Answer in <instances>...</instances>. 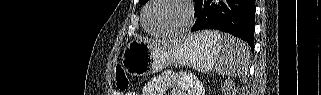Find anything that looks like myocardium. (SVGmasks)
I'll use <instances>...</instances> for the list:
<instances>
[{
    "label": "myocardium",
    "mask_w": 321,
    "mask_h": 95,
    "mask_svg": "<svg viewBox=\"0 0 321 95\" xmlns=\"http://www.w3.org/2000/svg\"><path fill=\"white\" fill-rule=\"evenodd\" d=\"M157 1L158 0L148 1L147 5L145 6V8L143 10L142 24H143L144 29L148 33H150L151 35L157 36V37H169V36H176V35L184 34L185 32H187L189 30V28L192 26V24L194 23V20H195V9H194L193 3L190 0H177V1L181 2L186 8V12H187L186 23L181 28L173 30V31H169V32L158 33V32L152 31L148 27V24H147V14H148L150 7L153 4H155Z\"/></svg>",
    "instance_id": "obj_1"
}]
</instances>
